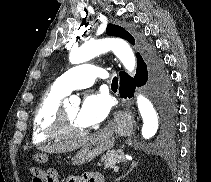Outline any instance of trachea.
<instances>
[{
	"label": "trachea",
	"mask_w": 211,
	"mask_h": 182,
	"mask_svg": "<svg viewBox=\"0 0 211 182\" xmlns=\"http://www.w3.org/2000/svg\"><path fill=\"white\" fill-rule=\"evenodd\" d=\"M111 87H115V88L118 87V78L117 77L113 78Z\"/></svg>",
	"instance_id": "trachea-1"
}]
</instances>
